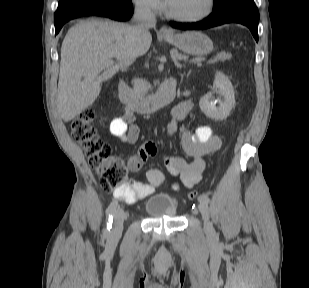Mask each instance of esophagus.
I'll return each instance as SVG.
<instances>
[{"instance_id": "esophagus-1", "label": "esophagus", "mask_w": 309, "mask_h": 288, "mask_svg": "<svg viewBox=\"0 0 309 288\" xmlns=\"http://www.w3.org/2000/svg\"><path fill=\"white\" fill-rule=\"evenodd\" d=\"M159 32L162 34V35H170L172 32L169 28H167L166 26H162L159 30Z\"/></svg>"}]
</instances>
